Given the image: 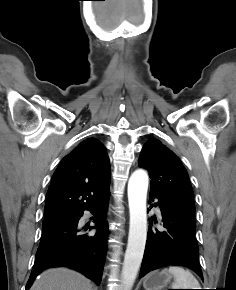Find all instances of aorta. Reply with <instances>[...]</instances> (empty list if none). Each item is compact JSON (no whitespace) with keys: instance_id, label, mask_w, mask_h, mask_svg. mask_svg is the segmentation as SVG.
<instances>
[{"instance_id":"1","label":"aorta","mask_w":236,"mask_h":290,"mask_svg":"<svg viewBox=\"0 0 236 290\" xmlns=\"http://www.w3.org/2000/svg\"><path fill=\"white\" fill-rule=\"evenodd\" d=\"M147 190V173L143 170L135 171L128 182L130 223L128 244L122 268L124 290L132 289L144 254L147 237Z\"/></svg>"}]
</instances>
